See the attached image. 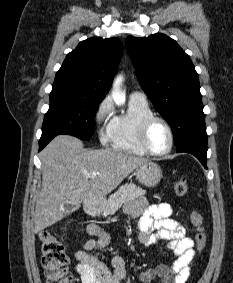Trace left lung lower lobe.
<instances>
[{
    "label": "left lung lower lobe",
    "mask_w": 233,
    "mask_h": 283,
    "mask_svg": "<svg viewBox=\"0 0 233 283\" xmlns=\"http://www.w3.org/2000/svg\"><path fill=\"white\" fill-rule=\"evenodd\" d=\"M177 152H187L194 155L207 168V141L196 140L177 148Z\"/></svg>",
    "instance_id": "0a47b994"
}]
</instances>
